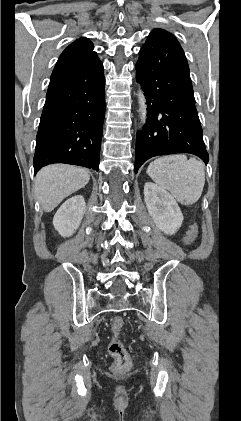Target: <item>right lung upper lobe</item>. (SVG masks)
Instances as JSON below:
<instances>
[{"instance_id":"1","label":"right lung upper lobe","mask_w":241,"mask_h":421,"mask_svg":"<svg viewBox=\"0 0 241 421\" xmlns=\"http://www.w3.org/2000/svg\"><path fill=\"white\" fill-rule=\"evenodd\" d=\"M96 57L97 55L96 52L93 51L92 42L85 37L77 39L62 52L52 75L72 66L90 61Z\"/></svg>"}]
</instances>
